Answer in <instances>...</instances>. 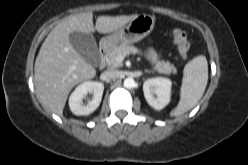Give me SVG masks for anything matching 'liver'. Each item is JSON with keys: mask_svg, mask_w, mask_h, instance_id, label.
<instances>
[{"mask_svg": "<svg viewBox=\"0 0 248 165\" xmlns=\"http://www.w3.org/2000/svg\"><path fill=\"white\" fill-rule=\"evenodd\" d=\"M137 16H100L94 26L93 14L88 12L69 16L56 25L43 42L35 61L34 83L41 105L62 115L71 89L96 75V69L71 45V32L91 34L96 30L102 34L110 33Z\"/></svg>", "mask_w": 248, "mask_h": 165, "instance_id": "obj_1", "label": "liver"}]
</instances>
